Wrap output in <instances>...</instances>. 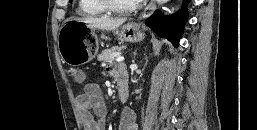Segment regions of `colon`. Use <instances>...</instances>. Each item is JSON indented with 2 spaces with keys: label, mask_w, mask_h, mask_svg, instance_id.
Segmentation results:
<instances>
[{
  "label": "colon",
  "mask_w": 257,
  "mask_h": 130,
  "mask_svg": "<svg viewBox=\"0 0 257 130\" xmlns=\"http://www.w3.org/2000/svg\"><path fill=\"white\" fill-rule=\"evenodd\" d=\"M67 71H68V74L70 75V77L76 83H82L86 79V74H85L84 70H82L81 68L69 67Z\"/></svg>",
  "instance_id": "1"
}]
</instances>
